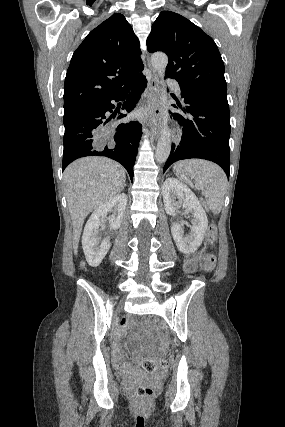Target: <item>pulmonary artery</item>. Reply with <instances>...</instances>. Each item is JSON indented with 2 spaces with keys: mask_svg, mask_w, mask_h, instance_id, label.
I'll use <instances>...</instances> for the list:
<instances>
[{
  "mask_svg": "<svg viewBox=\"0 0 285 427\" xmlns=\"http://www.w3.org/2000/svg\"><path fill=\"white\" fill-rule=\"evenodd\" d=\"M167 82L175 88L177 93H180L179 85L175 80L168 79Z\"/></svg>",
  "mask_w": 285,
  "mask_h": 427,
  "instance_id": "pulmonary-artery-1",
  "label": "pulmonary artery"
}]
</instances>
